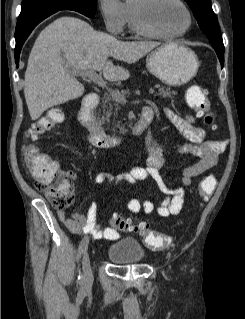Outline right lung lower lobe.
<instances>
[{"instance_id":"1","label":"right lung lower lobe","mask_w":245,"mask_h":319,"mask_svg":"<svg viewBox=\"0 0 245 319\" xmlns=\"http://www.w3.org/2000/svg\"><path fill=\"white\" fill-rule=\"evenodd\" d=\"M57 11H52L48 13H44L41 15H37L35 17H32L26 21L23 22H17L16 30H15V39H16V47H15V61L17 64V67L19 66V55L21 52V48L27 39V37L30 35L32 30L35 28V26L40 23L42 20L47 18L48 16L52 15Z\"/></svg>"}]
</instances>
